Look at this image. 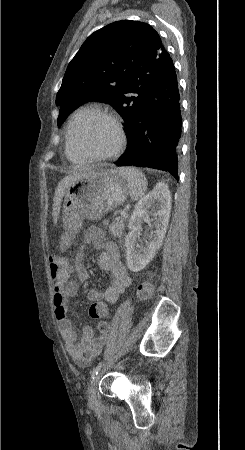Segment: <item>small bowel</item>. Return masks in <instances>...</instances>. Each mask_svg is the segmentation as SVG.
<instances>
[{"mask_svg":"<svg viewBox=\"0 0 245 450\" xmlns=\"http://www.w3.org/2000/svg\"><path fill=\"white\" fill-rule=\"evenodd\" d=\"M82 244L83 246L91 245L100 251L97 262L110 278V285L102 293L95 289L90 290L89 299L102 300L109 305L114 304L131 283V278L122 264L117 244L108 240L105 233L96 227L87 229ZM72 273L76 274V281L69 280ZM51 277L54 291V317L59 323L66 350L79 366L84 367L101 353L108 338L110 324L106 320L99 321L97 323L99 335H95L91 327H84L78 339L77 332L68 318L69 298L76 296L80 284L90 278V273L82 262L81 253L76 257L73 265L64 264L55 271L51 267Z\"/></svg>","mask_w":245,"mask_h":450,"instance_id":"small-bowel-1","label":"small bowel"}]
</instances>
